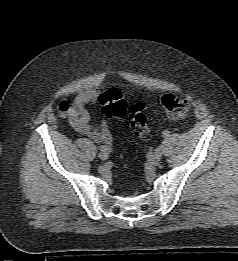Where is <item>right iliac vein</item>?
<instances>
[{"mask_svg":"<svg viewBox=\"0 0 238 261\" xmlns=\"http://www.w3.org/2000/svg\"><path fill=\"white\" fill-rule=\"evenodd\" d=\"M98 156L103 161L107 160V158H108V154L105 151H101Z\"/></svg>","mask_w":238,"mask_h":261,"instance_id":"63e3f726","label":"right iliac vein"}]
</instances>
